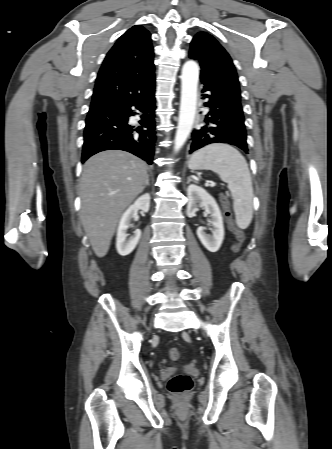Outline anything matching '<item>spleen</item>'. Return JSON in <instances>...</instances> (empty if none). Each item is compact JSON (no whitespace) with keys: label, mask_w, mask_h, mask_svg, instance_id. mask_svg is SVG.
<instances>
[{"label":"spleen","mask_w":332,"mask_h":449,"mask_svg":"<svg viewBox=\"0 0 332 449\" xmlns=\"http://www.w3.org/2000/svg\"><path fill=\"white\" fill-rule=\"evenodd\" d=\"M188 166L191 170H211L228 184L234 198L236 223L246 229L253 218V187L248 164L241 153L227 144H211L196 151Z\"/></svg>","instance_id":"3e777b00"}]
</instances>
